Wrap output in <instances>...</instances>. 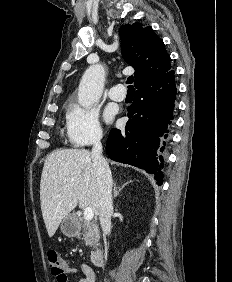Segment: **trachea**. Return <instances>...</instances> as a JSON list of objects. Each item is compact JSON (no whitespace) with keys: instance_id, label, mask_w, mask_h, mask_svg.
I'll return each mask as SVG.
<instances>
[{"instance_id":"3493384b","label":"trachea","mask_w":232,"mask_h":282,"mask_svg":"<svg viewBox=\"0 0 232 282\" xmlns=\"http://www.w3.org/2000/svg\"><path fill=\"white\" fill-rule=\"evenodd\" d=\"M133 81H134V77L133 76H130V77L127 78V84H129L128 85V92L134 90L133 86L131 85L133 83Z\"/></svg>"}]
</instances>
